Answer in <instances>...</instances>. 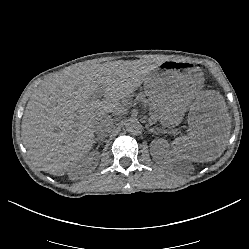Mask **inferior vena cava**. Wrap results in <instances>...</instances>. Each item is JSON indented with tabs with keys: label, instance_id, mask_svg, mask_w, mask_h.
<instances>
[{
	"label": "inferior vena cava",
	"instance_id": "602c4592",
	"mask_svg": "<svg viewBox=\"0 0 249 249\" xmlns=\"http://www.w3.org/2000/svg\"><path fill=\"white\" fill-rule=\"evenodd\" d=\"M113 118L109 114H104L101 118L94 123L93 129L95 132L106 134L112 129Z\"/></svg>",
	"mask_w": 249,
	"mask_h": 249
}]
</instances>
